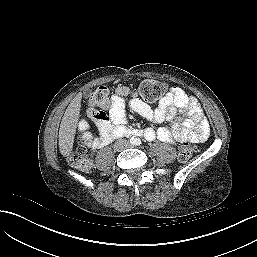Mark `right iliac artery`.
Listing matches in <instances>:
<instances>
[{
	"label": "right iliac artery",
	"mask_w": 257,
	"mask_h": 257,
	"mask_svg": "<svg viewBox=\"0 0 257 257\" xmlns=\"http://www.w3.org/2000/svg\"><path fill=\"white\" fill-rule=\"evenodd\" d=\"M130 143H132V144H133V143H134V140H133V139H132V140H130Z\"/></svg>",
	"instance_id": "1"
}]
</instances>
